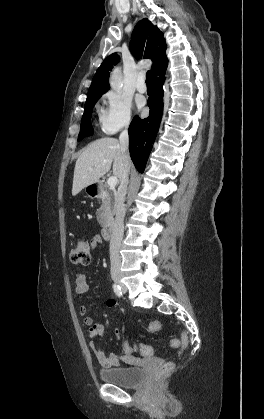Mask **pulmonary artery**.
Masks as SVG:
<instances>
[{"label":"pulmonary artery","instance_id":"obj_1","mask_svg":"<svg viewBox=\"0 0 264 419\" xmlns=\"http://www.w3.org/2000/svg\"><path fill=\"white\" fill-rule=\"evenodd\" d=\"M136 88L139 92L144 93L147 90V86L145 83V75L140 73L137 78Z\"/></svg>","mask_w":264,"mask_h":419}]
</instances>
